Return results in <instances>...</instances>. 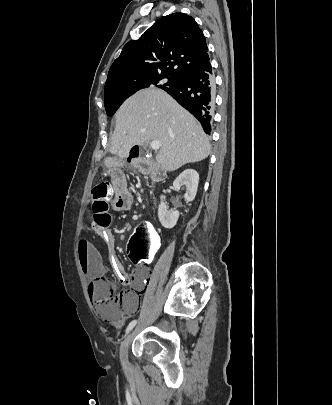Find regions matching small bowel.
Instances as JSON below:
<instances>
[{
  "mask_svg": "<svg viewBox=\"0 0 332 405\" xmlns=\"http://www.w3.org/2000/svg\"><path fill=\"white\" fill-rule=\"evenodd\" d=\"M109 177L113 178L112 184L115 196L110 198L112 211L116 215H125L133 203V197L128 190L124 168H109ZM98 234L104 239L109 249L115 248V237L108 230H99ZM78 257L82 271L90 280H95L104 272V264L98 249L87 240H80L78 243ZM116 272L122 283L128 284L130 291L133 292L131 300L126 305V311L123 315L109 319L116 325H122L126 316L133 315L139 306V300L136 292H144L148 284L147 269L145 267H135L131 274H128L123 265L116 262Z\"/></svg>",
  "mask_w": 332,
  "mask_h": 405,
  "instance_id": "obj_1",
  "label": "small bowel"
}]
</instances>
